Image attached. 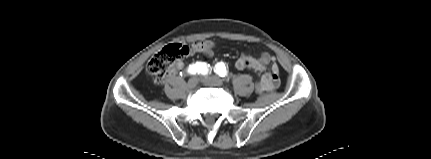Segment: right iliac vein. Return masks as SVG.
<instances>
[{
	"instance_id": "obj_1",
	"label": "right iliac vein",
	"mask_w": 431,
	"mask_h": 159,
	"mask_svg": "<svg viewBox=\"0 0 431 159\" xmlns=\"http://www.w3.org/2000/svg\"><path fill=\"white\" fill-rule=\"evenodd\" d=\"M197 84H198V79L196 77H192L191 79L188 80L187 87L189 89H193L197 86Z\"/></svg>"
}]
</instances>
